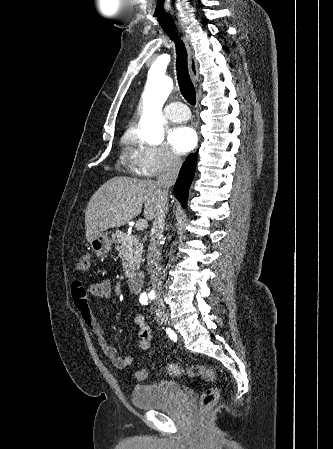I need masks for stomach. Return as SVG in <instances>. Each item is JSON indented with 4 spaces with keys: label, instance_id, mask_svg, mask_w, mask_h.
Here are the masks:
<instances>
[{
    "label": "stomach",
    "instance_id": "1",
    "mask_svg": "<svg viewBox=\"0 0 333 449\" xmlns=\"http://www.w3.org/2000/svg\"><path fill=\"white\" fill-rule=\"evenodd\" d=\"M91 248L97 256H104L111 249V240L107 232H100L90 241Z\"/></svg>",
    "mask_w": 333,
    "mask_h": 449
}]
</instances>
